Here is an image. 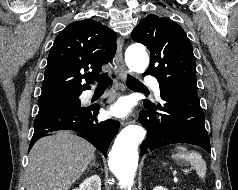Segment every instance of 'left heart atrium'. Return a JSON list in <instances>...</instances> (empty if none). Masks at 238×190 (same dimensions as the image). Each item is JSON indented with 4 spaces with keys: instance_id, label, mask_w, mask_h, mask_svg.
Masks as SVG:
<instances>
[{
    "instance_id": "left-heart-atrium-1",
    "label": "left heart atrium",
    "mask_w": 238,
    "mask_h": 190,
    "mask_svg": "<svg viewBox=\"0 0 238 190\" xmlns=\"http://www.w3.org/2000/svg\"><path fill=\"white\" fill-rule=\"evenodd\" d=\"M132 111V102L128 97H120L109 107V114L123 118Z\"/></svg>"
}]
</instances>
